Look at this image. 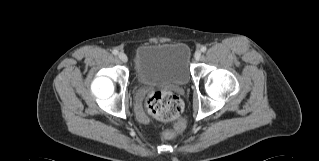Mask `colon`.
<instances>
[{
    "label": "colon",
    "instance_id": "1",
    "mask_svg": "<svg viewBox=\"0 0 319 161\" xmlns=\"http://www.w3.org/2000/svg\"><path fill=\"white\" fill-rule=\"evenodd\" d=\"M148 112L157 120L175 124V134L185 127V118L182 116L184 104L180 97L165 91L156 90L151 92L145 102Z\"/></svg>",
    "mask_w": 319,
    "mask_h": 161
}]
</instances>
